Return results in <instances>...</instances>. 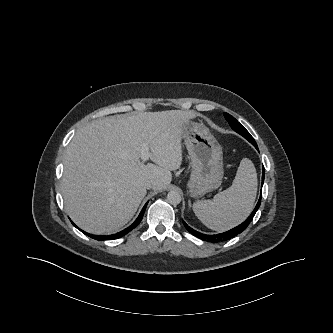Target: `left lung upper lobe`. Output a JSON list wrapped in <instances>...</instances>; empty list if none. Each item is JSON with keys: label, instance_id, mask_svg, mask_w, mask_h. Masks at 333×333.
I'll list each match as a JSON object with an SVG mask.
<instances>
[{"label": "left lung upper lobe", "instance_id": "5c2ea615", "mask_svg": "<svg viewBox=\"0 0 333 333\" xmlns=\"http://www.w3.org/2000/svg\"><path fill=\"white\" fill-rule=\"evenodd\" d=\"M224 117L234 131L246 138L251 144L256 143L250 133L233 116L228 113H224Z\"/></svg>", "mask_w": 333, "mask_h": 333}]
</instances>
